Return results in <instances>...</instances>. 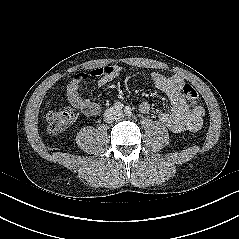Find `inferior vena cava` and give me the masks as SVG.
<instances>
[{
  "label": "inferior vena cava",
  "instance_id": "inferior-vena-cava-1",
  "mask_svg": "<svg viewBox=\"0 0 239 239\" xmlns=\"http://www.w3.org/2000/svg\"><path fill=\"white\" fill-rule=\"evenodd\" d=\"M119 117H120V112L113 108H110L104 114V121L107 123L113 122L117 120Z\"/></svg>",
  "mask_w": 239,
  "mask_h": 239
}]
</instances>
